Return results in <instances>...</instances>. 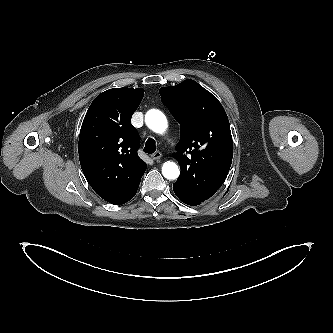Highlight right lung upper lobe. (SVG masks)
<instances>
[{
	"label": "right lung upper lobe",
	"mask_w": 333,
	"mask_h": 333,
	"mask_svg": "<svg viewBox=\"0 0 333 333\" xmlns=\"http://www.w3.org/2000/svg\"><path fill=\"white\" fill-rule=\"evenodd\" d=\"M144 89L113 88L101 93L83 120L78 152L83 173L104 200L121 205L138 189L146 163L138 155L139 136L131 116Z\"/></svg>",
	"instance_id": "right-lung-upper-lobe-1"
}]
</instances>
